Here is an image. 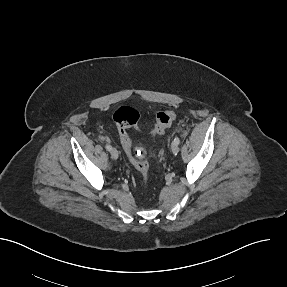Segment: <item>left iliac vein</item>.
Listing matches in <instances>:
<instances>
[{
    "mask_svg": "<svg viewBox=\"0 0 287 287\" xmlns=\"http://www.w3.org/2000/svg\"><path fill=\"white\" fill-rule=\"evenodd\" d=\"M171 151L174 155L178 154L179 152L178 144L175 143L174 141L171 144Z\"/></svg>",
    "mask_w": 287,
    "mask_h": 287,
    "instance_id": "left-iliac-vein-1",
    "label": "left iliac vein"
}]
</instances>
